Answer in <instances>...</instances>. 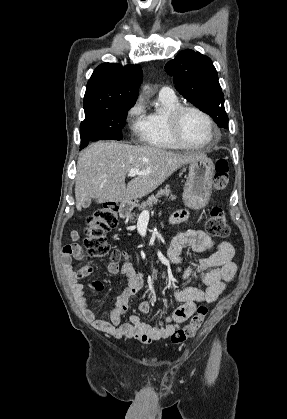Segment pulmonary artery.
Returning a JSON list of instances; mask_svg holds the SVG:
<instances>
[{
	"label": "pulmonary artery",
	"mask_w": 287,
	"mask_h": 419,
	"mask_svg": "<svg viewBox=\"0 0 287 419\" xmlns=\"http://www.w3.org/2000/svg\"><path fill=\"white\" fill-rule=\"evenodd\" d=\"M159 95L165 96V97H174V91L169 86H163L160 91Z\"/></svg>",
	"instance_id": "e3ab8cb5"
}]
</instances>
